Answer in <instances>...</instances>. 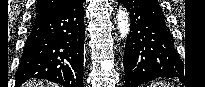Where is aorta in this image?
Segmentation results:
<instances>
[{
  "instance_id": "obj_1",
  "label": "aorta",
  "mask_w": 205,
  "mask_h": 87,
  "mask_svg": "<svg viewBox=\"0 0 205 87\" xmlns=\"http://www.w3.org/2000/svg\"><path fill=\"white\" fill-rule=\"evenodd\" d=\"M117 28L121 38H126L129 34V16L126 10L119 8L116 15Z\"/></svg>"
}]
</instances>
